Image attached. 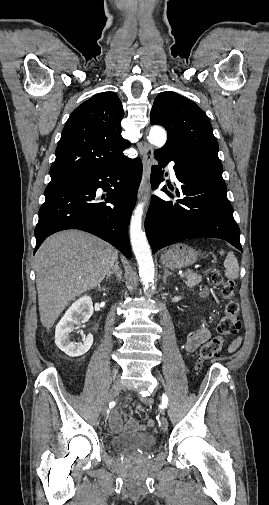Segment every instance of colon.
Returning <instances> with one entry per match:
<instances>
[{
	"mask_svg": "<svg viewBox=\"0 0 269 505\" xmlns=\"http://www.w3.org/2000/svg\"><path fill=\"white\" fill-rule=\"evenodd\" d=\"M212 282L221 287L222 295L227 299V304L217 325L218 335L203 344L200 348L196 364L198 369L207 361L217 357L222 351L225 338L236 335L241 328L239 304L234 298V283L224 280L219 272L213 273ZM136 413L141 418L147 417L146 409L141 405L136 407Z\"/></svg>",
	"mask_w": 269,
	"mask_h": 505,
	"instance_id": "obj_1",
	"label": "colon"
}]
</instances>
